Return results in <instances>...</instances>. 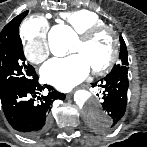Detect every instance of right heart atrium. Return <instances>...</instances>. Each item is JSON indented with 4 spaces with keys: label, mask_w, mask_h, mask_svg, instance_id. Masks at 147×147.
I'll list each match as a JSON object with an SVG mask.
<instances>
[{
    "label": "right heart atrium",
    "mask_w": 147,
    "mask_h": 147,
    "mask_svg": "<svg viewBox=\"0 0 147 147\" xmlns=\"http://www.w3.org/2000/svg\"><path fill=\"white\" fill-rule=\"evenodd\" d=\"M49 28L48 21L41 16L32 17L23 23L21 28L23 50L29 61L38 64L48 57Z\"/></svg>",
    "instance_id": "obj_1"
}]
</instances>
